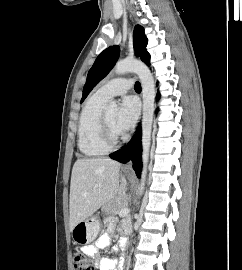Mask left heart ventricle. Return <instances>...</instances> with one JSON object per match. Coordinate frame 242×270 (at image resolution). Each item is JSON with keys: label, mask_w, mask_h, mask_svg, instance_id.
<instances>
[{"label": "left heart ventricle", "mask_w": 242, "mask_h": 270, "mask_svg": "<svg viewBox=\"0 0 242 270\" xmlns=\"http://www.w3.org/2000/svg\"><path fill=\"white\" fill-rule=\"evenodd\" d=\"M107 120L109 122V125L111 126L115 136H120L123 132L119 129L117 125V111H108L106 112Z\"/></svg>", "instance_id": "left-heart-ventricle-1"}]
</instances>
